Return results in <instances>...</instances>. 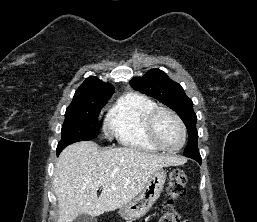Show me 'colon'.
Masks as SVG:
<instances>
[{"mask_svg":"<svg viewBox=\"0 0 257 222\" xmlns=\"http://www.w3.org/2000/svg\"><path fill=\"white\" fill-rule=\"evenodd\" d=\"M187 175L181 168L172 170L167 186L168 201L157 222H182L176 209V201L186 193Z\"/></svg>","mask_w":257,"mask_h":222,"instance_id":"colon-1","label":"colon"}]
</instances>
